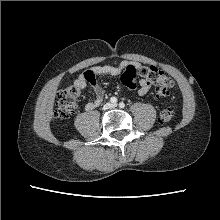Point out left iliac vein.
I'll return each mask as SVG.
<instances>
[{
    "label": "left iliac vein",
    "instance_id": "left-iliac-vein-1",
    "mask_svg": "<svg viewBox=\"0 0 220 220\" xmlns=\"http://www.w3.org/2000/svg\"><path fill=\"white\" fill-rule=\"evenodd\" d=\"M112 107H113V108H114V107H117V104H113Z\"/></svg>",
    "mask_w": 220,
    "mask_h": 220
}]
</instances>
